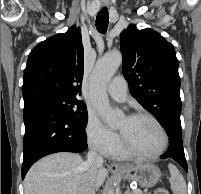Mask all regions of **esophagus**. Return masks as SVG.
<instances>
[{
	"instance_id": "1",
	"label": "esophagus",
	"mask_w": 201,
	"mask_h": 194,
	"mask_svg": "<svg viewBox=\"0 0 201 194\" xmlns=\"http://www.w3.org/2000/svg\"><path fill=\"white\" fill-rule=\"evenodd\" d=\"M107 5H108L107 2L103 3V6H107ZM109 169L110 170H118V169H121V166L118 163L112 162L109 164Z\"/></svg>"
}]
</instances>
